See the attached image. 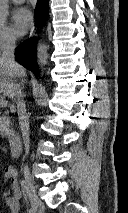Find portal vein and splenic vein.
Returning a JSON list of instances; mask_svg holds the SVG:
<instances>
[{
  "label": "portal vein and splenic vein",
  "mask_w": 128,
  "mask_h": 213,
  "mask_svg": "<svg viewBox=\"0 0 128 213\" xmlns=\"http://www.w3.org/2000/svg\"><path fill=\"white\" fill-rule=\"evenodd\" d=\"M8 104V101L5 99H0V107H6Z\"/></svg>",
  "instance_id": "1"
}]
</instances>
